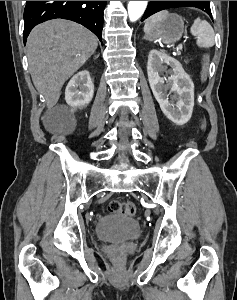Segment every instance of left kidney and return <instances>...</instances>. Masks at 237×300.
Wrapping results in <instances>:
<instances>
[{"instance_id": "left-kidney-1", "label": "left kidney", "mask_w": 237, "mask_h": 300, "mask_svg": "<svg viewBox=\"0 0 237 300\" xmlns=\"http://www.w3.org/2000/svg\"><path fill=\"white\" fill-rule=\"evenodd\" d=\"M164 63L172 69V75L168 79L160 77V73L164 71ZM147 73L153 95L162 113L175 125H186L193 113L194 83L185 73L181 63L162 51L152 49L148 57ZM169 95L172 101H169Z\"/></svg>"}]
</instances>
